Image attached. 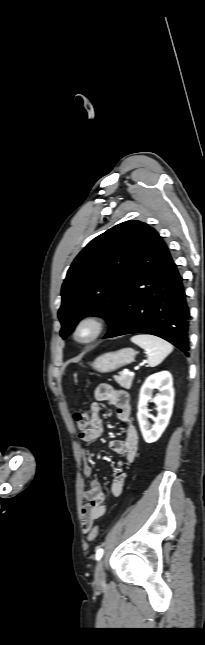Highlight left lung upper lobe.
<instances>
[{
    "label": "left lung upper lobe",
    "mask_w": 205,
    "mask_h": 645,
    "mask_svg": "<svg viewBox=\"0 0 205 645\" xmlns=\"http://www.w3.org/2000/svg\"><path fill=\"white\" fill-rule=\"evenodd\" d=\"M148 229L140 221L120 223L93 239L75 258L61 289L58 317L64 339L88 315L107 320L105 338L117 329L128 275Z\"/></svg>",
    "instance_id": "1"
}]
</instances>
